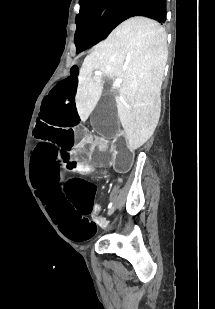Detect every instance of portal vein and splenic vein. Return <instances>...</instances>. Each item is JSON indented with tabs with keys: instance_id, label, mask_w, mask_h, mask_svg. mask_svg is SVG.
Returning <instances> with one entry per match:
<instances>
[{
	"instance_id": "1",
	"label": "portal vein and splenic vein",
	"mask_w": 215,
	"mask_h": 309,
	"mask_svg": "<svg viewBox=\"0 0 215 309\" xmlns=\"http://www.w3.org/2000/svg\"><path fill=\"white\" fill-rule=\"evenodd\" d=\"M95 74H97V76H101L103 72H101V70H95ZM121 82H122V78H115L116 86H121Z\"/></svg>"
}]
</instances>
